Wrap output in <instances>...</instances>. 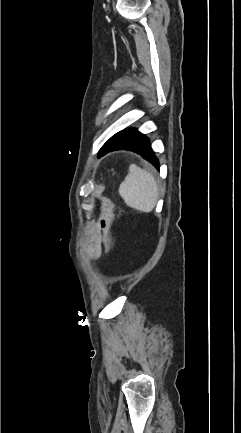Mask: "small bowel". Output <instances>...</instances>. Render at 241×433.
<instances>
[{
    "mask_svg": "<svg viewBox=\"0 0 241 433\" xmlns=\"http://www.w3.org/2000/svg\"><path fill=\"white\" fill-rule=\"evenodd\" d=\"M101 226L99 224L91 225L90 238L86 246L87 254L98 259L102 253V237L100 233Z\"/></svg>",
    "mask_w": 241,
    "mask_h": 433,
    "instance_id": "c3829d8e",
    "label": "small bowel"
}]
</instances>
